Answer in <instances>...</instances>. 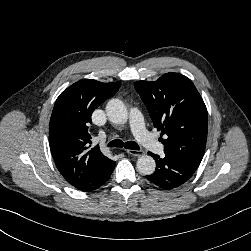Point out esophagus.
<instances>
[{
  "instance_id": "34e87169",
  "label": "esophagus",
  "mask_w": 251,
  "mask_h": 251,
  "mask_svg": "<svg viewBox=\"0 0 251 251\" xmlns=\"http://www.w3.org/2000/svg\"><path fill=\"white\" fill-rule=\"evenodd\" d=\"M126 152L132 156H136V157H140L142 155H144V151L142 150H131V149H127Z\"/></svg>"
}]
</instances>
